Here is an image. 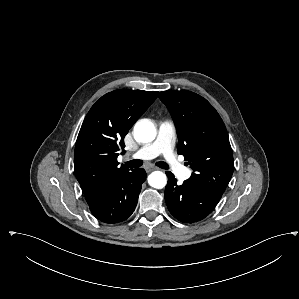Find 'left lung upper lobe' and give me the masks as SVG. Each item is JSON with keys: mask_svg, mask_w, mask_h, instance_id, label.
<instances>
[{"mask_svg": "<svg viewBox=\"0 0 299 299\" xmlns=\"http://www.w3.org/2000/svg\"><path fill=\"white\" fill-rule=\"evenodd\" d=\"M178 134V152L193 169L189 180L222 196L234 170L226 127L213 106L190 91H163Z\"/></svg>", "mask_w": 299, "mask_h": 299, "instance_id": "1", "label": "left lung upper lobe"}]
</instances>
